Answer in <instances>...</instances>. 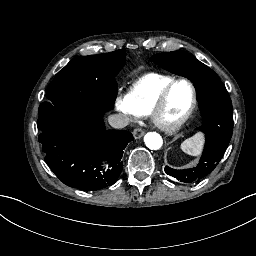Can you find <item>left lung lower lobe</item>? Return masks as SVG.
Listing matches in <instances>:
<instances>
[{
    "label": "left lung lower lobe",
    "mask_w": 256,
    "mask_h": 256,
    "mask_svg": "<svg viewBox=\"0 0 256 256\" xmlns=\"http://www.w3.org/2000/svg\"><path fill=\"white\" fill-rule=\"evenodd\" d=\"M167 174L171 175V176L177 178L178 180H180L181 182H185V183L198 182L205 177V176L186 175V174L180 173V172H177V173L167 172Z\"/></svg>",
    "instance_id": "1"
}]
</instances>
